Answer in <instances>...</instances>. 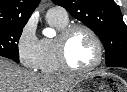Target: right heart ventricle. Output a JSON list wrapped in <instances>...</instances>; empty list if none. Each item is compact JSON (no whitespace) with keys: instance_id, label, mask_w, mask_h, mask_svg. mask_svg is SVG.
Masks as SVG:
<instances>
[{"instance_id":"right-heart-ventricle-1","label":"right heart ventricle","mask_w":127,"mask_h":92,"mask_svg":"<svg viewBox=\"0 0 127 92\" xmlns=\"http://www.w3.org/2000/svg\"><path fill=\"white\" fill-rule=\"evenodd\" d=\"M48 23L58 31H62L68 26L69 21L67 18H62L56 15L47 14ZM56 38H42L40 40L41 57L38 66V71L44 74H57L62 71L59 65L56 47Z\"/></svg>"}]
</instances>
